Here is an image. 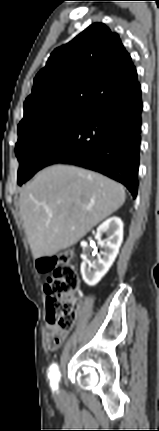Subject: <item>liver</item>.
<instances>
[{
	"label": "liver",
	"instance_id": "liver-1",
	"mask_svg": "<svg viewBox=\"0 0 159 431\" xmlns=\"http://www.w3.org/2000/svg\"><path fill=\"white\" fill-rule=\"evenodd\" d=\"M125 199L124 187L99 173L60 164L43 169L19 197L33 257L52 256L76 244Z\"/></svg>",
	"mask_w": 159,
	"mask_h": 431
}]
</instances>
